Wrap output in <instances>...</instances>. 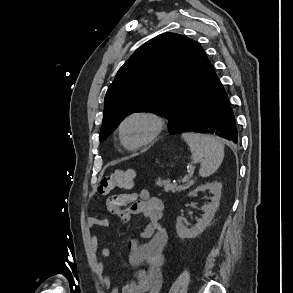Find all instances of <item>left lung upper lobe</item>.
Here are the masks:
<instances>
[{"label": "left lung upper lobe", "mask_w": 293, "mask_h": 293, "mask_svg": "<svg viewBox=\"0 0 293 293\" xmlns=\"http://www.w3.org/2000/svg\"><path fill=\"white\" fill-rule=\"evenodd\" d=\"M212 66L195 41L163 33L139 47L119 69L105 95L100 141L128 115L156 111L169 118L171 132L186 103L208 83Z\"/></svg>", "instance_id": "1"}]
</instances>
